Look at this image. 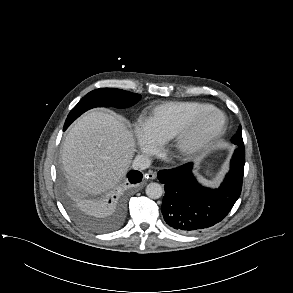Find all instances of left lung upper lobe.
I'll use <instances>...</instances> for the list:
<instances>
[{"mask_svg": "<svg viewBox=\"0 0 293 293\" xmlns=\"http://www.w3.org/2000/svg\"><path fill=\"white\" fill-rule=\"evenodd\" d=\"M232 142L239 146L238 149L235 150V153L240 152L241 147L244 146L241 127L239 128L237 134L232 138Z\"/></svg>", "mask_w": 293, "mask_h": 293, "instance_id": "left-lung-upper-lobe-1", "label": "left lung upper lobe"}]
</instances>
